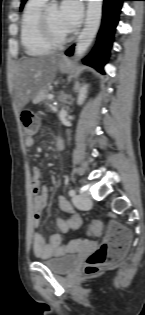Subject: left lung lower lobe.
I'll use <instances>...</instances> for the list:
<instances>
[{"label":"left lung lower lobe","mask_w":145,"mask_h":315,"mask_svg":"<svg viewBox=\"0 0 145 315\" xmlns=\"http://www.w3.org/2000/svg\"><path fill=\"white\" fill-rule=\"evenodd\" d=\"M122 1L127 0H104L103 18L97 42L92 52L83 61L99 72L104 73L103 66L107 62L109 51L113 42V35L118 23V16L122 7ZM74 45L67 51L66 55L73 54Z\"/></svg>","instance_id":"obj_1"}]
</instances>
